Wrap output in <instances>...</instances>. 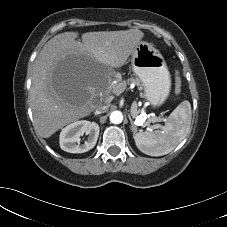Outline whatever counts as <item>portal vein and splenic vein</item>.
Wrapping results in <instances>:
<instances>
[{"mask_svg":"<svg viewBox=\"0 0 227 227\" xmlns=\"http://www.w3.org/2000/svg\"><path fill=\"white\" fill-rule=\"evenodd\" d=\"M124 89H122L121 85L118 84L116 86V92L121 93ZM131 113L132 115L136 116V120L139 124H143L145 123L146 126L150 127L151 129H157L160 128L161 126L159 124L150 126V122H159L161 121L160 118H153L150 121H146L147 119V115L145 113H141L140 115H138L139 111L137 110V104L133 103L132 107H131ZM138 115V116H137Z\"/></svg>","mask_w":227,"mask_h":227,"instance_id":"portal-vein-and-splenic-vein-1","label":"portal vein and splenic vein"}]
</instances>
